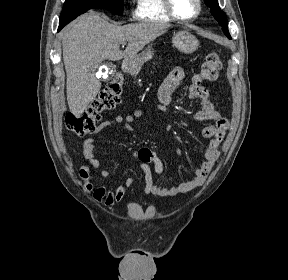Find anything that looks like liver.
<instances>
[{
	"instance_id": "1",
	"label": "liver",
	"mask_w": 288,
	"mask_h": 280,
	"mask_svg": "<svg viewBox=\"0 0 288 280\" xmlns=\"http://www.w3.org/2000/svg\"><path fill=\"white\" fill-rule=\"evenodd\" d=\"M165 23L142 22L117 26L91 11L80 16L62 39L67 80V102L71 113L80 117L101 88L95 71L103 60L130 58L164 34ZM128 41L124 51L120 44Z\"/></svg>"
}]
</instances>
